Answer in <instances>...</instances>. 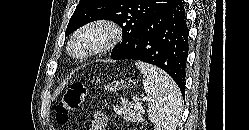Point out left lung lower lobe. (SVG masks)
<instances>
[{"label": "left lung lower lobe", "instance_id": "0a47b994", "mask_svg": "<svg viewBox=\"0 0 249 130\" xmlns=\"http://www.w3.org/2000/svg\"><path fill=\"white\" fill-rule=\"evenodd\" d=\"M188 34L184 3L172 0L141 27L127 46L111 58L140 60L163 69L184 95Z\"/></svg>", "mask_w": 249, "mask_h": 130}]
</instances>
